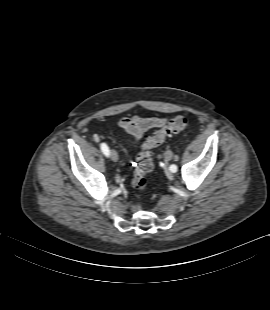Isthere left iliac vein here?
Returning <instances> with one entry per match:
<instances>
[{
    "label": "left iliac vein",
    "mask_w": 270,
    "mask_h": 310,
    "mask_svg": "<svg viewBox=\"0 0 270 310\" xmlns=\"http://www.w3.org/2000/svg\"><path fill=\"white\" fill-rule=\"evenodd\" d=\"M164 157H165V159L168 160V161L171 160L172 157H173L172 151H171V150L166 151Z\"/></svg>",
    "instance_id": "4c4485c4"
}]
</instances>
